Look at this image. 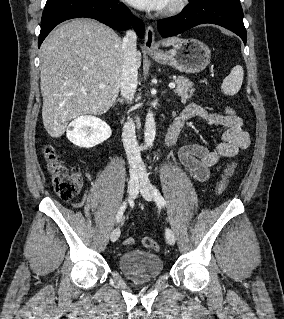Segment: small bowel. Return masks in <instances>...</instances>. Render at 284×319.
<instances>
[{
	"label": "small bowel",
	"instance_id": "1",
	"mask_svg": "<svg viewBox=\"0 0 284 319\" xmlns=\"http://www.w3.org/2000/svg\"><path fill=\"white\" fill-rule=\"evenodd\" d=\"M192 117L226 128L221 142L214 149L201 144H186L179 149V160L189 176L196 182L203 183L220 169V161L223 158L234 157L239 151L248 148L250 135L244 130L240 117L209 112L194 103L187 105L172 125L177 128L178 135L185 126V122Z\"/></svg>",
	"mask_w": 284,
	"mask_h": 319
}]
</instances>
